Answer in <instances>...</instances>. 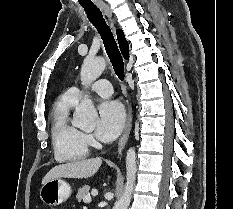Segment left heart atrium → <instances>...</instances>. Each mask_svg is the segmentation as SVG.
Instances as JSON below:
<instances>
[{
  "label": "left heart atrium",
  "mask_w": 233,
  "mask_h": 209,
  "mask_svg": "<svg viewBox=\"0 0 233 209\" xmlns=\"http://www.w3.org/2000/svg\"><path fill=\"white\" fill-rule=\"evenodd\" d=\"M124 121V109L118 101L102 102L98 107L97 137L104 142L114 140L120 134Z\"/></svg>",
  "instance_id": "left-heart-atrium-1"
}]
</instances>
